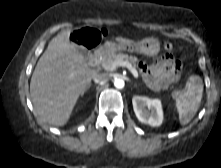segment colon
<instances>
[{
  "label": "colon",
  "mask_w": 221,
  "mask_h": 168,
  "mask_svg": "<svg viewBox=\"0 0 221 168\" xmlns=\"http://www.w3.org/2000/svg\"><path fill=\"white\" fill-rule=\"evenodd\" d=\"M104 36V31L98 29H82L74 33V41L78 44L90 48L99 42L102 37ZM162 46L165 50L170 51L172 50V44L170 42H163ZM184 92L183 86H178L174 89L171 93V98H180L181 94Z\"/></svg>",
  "instance_id": "1"
}]
</instances>
